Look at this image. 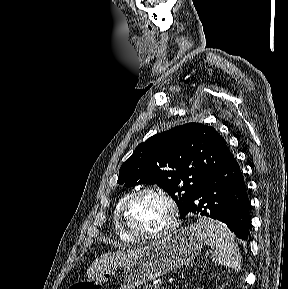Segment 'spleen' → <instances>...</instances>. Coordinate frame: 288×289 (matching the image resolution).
Segmentation results:
<instances>
[{
  "mask_svg": "<svg viewBox=\"0 0 288 289\" xmlns=\"http://www.w3.org/2000/svg\"><path fill=\"white\" fill-rule=\"evenodd\" d=\"M192 227L212 249L215 263L240 271L241 254L228 228L209 218L199 219Z\"/></svg>",
  "mask_w": 288,
  "mask_h": 289,
  "instance_id": "1",
  "label": "spleen"
}]
</instances>
